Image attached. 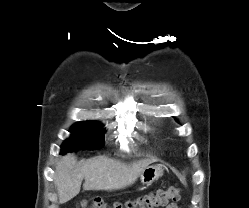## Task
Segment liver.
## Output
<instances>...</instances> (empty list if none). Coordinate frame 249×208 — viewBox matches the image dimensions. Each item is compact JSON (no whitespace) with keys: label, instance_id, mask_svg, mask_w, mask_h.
<instances>
[{"label":"liver","instance_id":"liver-1","mask_svg":"<svg viewBox=\"0 0 249 208\" xmlns=\"http://www.w3.org/2000/svg\"><path fill=\"white\" fill-rule=\"evenodd\" d=\"M155 159H144L132 164L104 156L78 162L74 155L62 157L55 168V184L60 203L79 194L82 180L84 190H119L132 185L140 173Z\"/></svg>","mask_w":249,"mask_h":208}]
</instances>
